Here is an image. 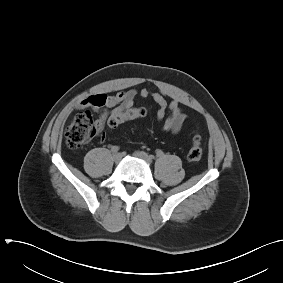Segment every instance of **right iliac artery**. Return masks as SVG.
<instances>
[{"mask_svg": "<svg viewBox=\"0 0 283 283\" xmlns=\"http://www.w3.org/2000/svg\"><path fill=\"white\" fill-rule=\"evenodd\" d=\"M119 150H120V148H119L118 146H113V147L111 148V151H112L113 153H117Z\"/></svg>", "mask_w": 283, "mask_h": 283, "instance_id": "1", "label": "right iliac artery"}]
</instances>
